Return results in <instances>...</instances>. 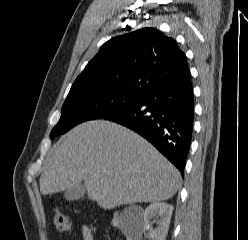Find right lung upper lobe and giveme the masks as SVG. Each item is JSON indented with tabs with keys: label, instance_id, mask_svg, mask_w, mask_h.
I'll use <instances>...</instances> for the list:
<instances>
[{
	"label": "right lung upper lobe",
	"instance_id": "1",
	"mask_svg": "<svg viewBox=\"0 0 248 240\" xmlns=\"http://www.w3.org/2000/svg\"><path fill=\"white\" fill-rule=\"evenodd\" d=\"M188 75L187 57L177 42L155 28H144L106 42L70 91L112 88L144 96Z\"/></svg>",
	"mask_w": 248,
	"mask_h": 240
}]
</instances>
